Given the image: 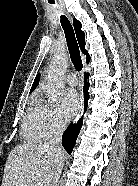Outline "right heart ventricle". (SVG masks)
<instances>
[{
	"mask_svg": "<svg viewBox=\"0 0 138 186\" xmlns=\"http://www.w3.org/2000/svg\"><path fill=\"white\" fill-rule=\"evenodd\" d=\"M47 106L43 103L38 93L30 100L22 124L21 134L27 141H41L49 137L45 126L44 116Z\"/></svg>",
	"mask_w": 138,
	"mask_h": 186,
	"instance_id": "e07e8e85",
	"label": "right heart ventricle"
}]
</instances>
